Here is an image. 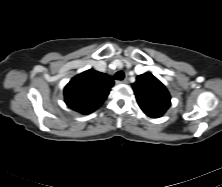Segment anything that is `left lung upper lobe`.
Returning <instances> with one entry per match:
<instances>
[{
    "label": "left lung upper lobe",
    "instance_id": "obj_1",
    "mask_svg": "<svg viewBox=\"0 0 222 187\" xmlns=\"http://www.w3.org/2000/svg\"><path fill=\"white\" fill-rule=\"evenodd\" d=\"M132 87L140 108L149 117H161L171 105L168 90L149 72L137 76Z\"/></svg>",
    "mask_w": 222,
    "mask_h": 187
}]
</instances>
